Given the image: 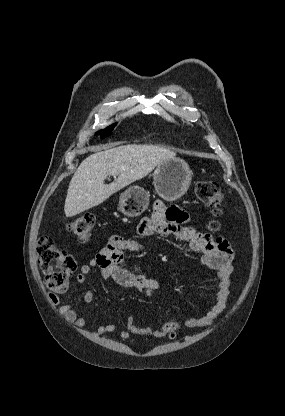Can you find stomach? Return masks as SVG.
Returning <instances> with one entry per match:
<instances>
[{
  "instance_id": "0dacf381",
  "label": "stomach",
  "mask_w": 285,
  "mask_h": 416,
  "mask_svg": "<svg viewBox=\"0 0 285 416\" xmlns=\"http://www.w3.org/2000/svg\"><path fill=\"white\" fill-rule=\"evenodd\" d=\"M192 176L193 172L185 160L181 158L165 160L162 164H158L153 174L156 194L167 202H174L189 190ZM149 202V194L144 188L130 186L119 198V210L128 218H136L147 210Z\"/></svg>"
}]
</instances>
